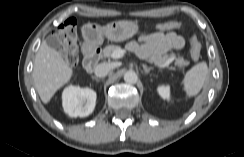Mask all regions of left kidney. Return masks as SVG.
Returning <instances> with one entry per match:
<instances>
[{"label":"left kidney","mask_w":244,"mask_h":157,"mask_svg":"<svg viewBox=\"0 0 244 157\" xmlns=\"http://www.w3.org/2000/svg\"><path fill=\"white\" fill-rule=\"evenodd\" d=\"M159 95L164 99V100H169L170 99V87L169 86H159L157 89Z\"/></svg>","instance_id":"left-kidney-1"}]
</instances>
